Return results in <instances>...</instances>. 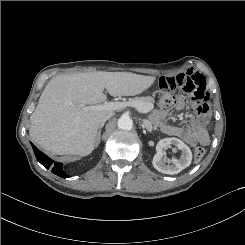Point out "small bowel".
Here are the masks:
<instances>
[{"label": "small bowel", "instance_id": "c3829d8e", "mask_svg": "<svg viewBox=\"0 0 245 245\" xmlns=\"http://www.w3.org/2000/svg\"><path fill=\"white\" fill-rule=\"evenodd\" d=\"M157 86L163 91L171 90L178 93L180 90L190 93L194 101L192 110L196 116H192L190 124L186 126H173L165 122V111H157L154 114V121L160 126L162 132L167 135L182 139L191 146L197 144L207 145L209 143V134L206 125L209 121L208 93L206 91L205 77L193 70H188L175 77L164 76L157 81ZM185 101L178 99L179 109L185 107Z\"/></svg>", "mask_w": 245, "mask_h": 245}]
</instances>
